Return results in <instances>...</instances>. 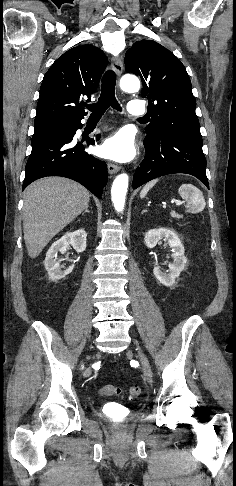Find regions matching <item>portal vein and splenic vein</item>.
<instances>
[{
    "mask_svg": "<svg viewBox=\"0 0 236 486\" xmlns=\"http://www.w3.org/2000/svg\"><path fill=\"white\" fill-rule=\"evenodd\" d=\"M175 204H176V206H180V205H182V201L177 200V201H175Z\"/></svg>",
    "mask_w": 236,
    "mask_h": 486,
    "instance_id": "portal-vein-and-splenic-vein-1",
    "label": "portal vein and splenic vein"
}]
</instances>
